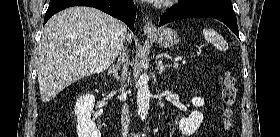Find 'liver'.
Wrapping results in <instances>:
<instances>
[{"mask_svg": "<svg viewBox=\"0 0 280 137\" xmlns=\"http://www.w3.org/2000/svg\"><path fill=\"white\" fill-rule=\"evenodd\" d=\"M127 35L117 19L93 7L75 6L45 25L37 50L42 101L49 102L75 81L105 71Z\"/></svg>", "mask_w": 280, "mask_h": 137, "instance_id": "6515ba94", "label": "liver"}]
</instances>
